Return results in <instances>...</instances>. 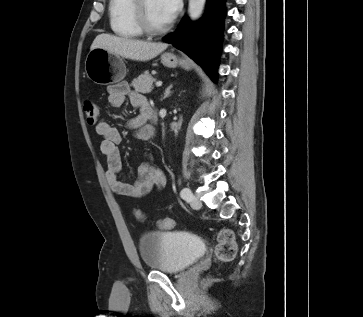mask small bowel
Instances as JSON below:
<instances>
[{"label": "small bowel", "mask_w": 363, "mask_h": 317, "mask_svg": "<svg viewBox=\"0 0 363 317\" xmlns=\"http://www.w3.org/2000/svg\"><path fill=\"white\" fill-rule=\"evenodd\" d=\"M129 97L133 107L139 109L140 113L130 122V127L139 139H149V128L146 120L149 115L150 106L144 95L131 91L126 82H120L109 89L108 101L113 107H121ZM95 131L102 140L100 151L107 161L106 179L111 189L117 194L129 197L140 198L153 191H162L166 185L164 174L157 169L151 157H148L139 167V176L134 184H127L119 180L118 175L122 169V158L118 145L122 141L120 132L107 121H99Z\"/></svg>", "instance_id": "obj_1"}]
</instances>
